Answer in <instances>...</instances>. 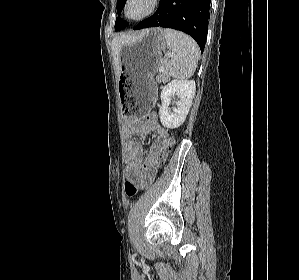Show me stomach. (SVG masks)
I'll return each instance as SVG.
<instances>
[{
  "mask_svg": "<svg viewBox=\"0 0 299 280\" xmlns=\"http://www.w3.org/2000/svg\"><path fill=\"white\" fill-rule=\"evenodd\" d=\"M166 47V39L160 28L143 30L123 45L118 91L125 117H144L151 110L157 91L153 77Z\"/></svg>",
  "mask_w": 299,
  "mask_h": 280,
  "instance_id": "stomach-1",
  "label": "stomach"
}]
</instances>
